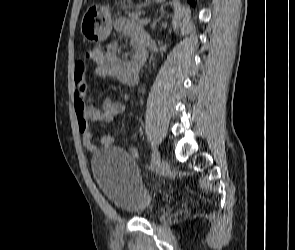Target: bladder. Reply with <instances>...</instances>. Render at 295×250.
Instances as JSON below:
<instances>
[{
	"label": "bladder",
	"instance_id": "1",
	"mask_svg": "<svg viewBox=\"0 0 295 250\" xmlns=\"http://www.w3.org/2000/svg\"><path fill=\"white\" fill-rule=\"evenodd\" d=\"M91 169L100 190L122 211L147 216L155 210V199L138 176L128 152L103 148L92 157Z\"/></svg>",
	"mask_w": 295,
	"mask_h": 250
}]
</instances>
